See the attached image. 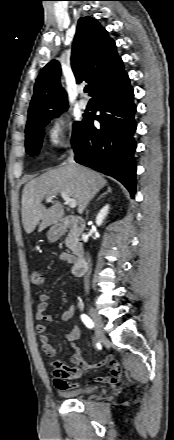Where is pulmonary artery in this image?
I'll return each instance as SVG.
<instances>
[{
	"label": "pulmonary artery",
	"mask_w": 174,
	"mask_h": 440,
	"mask_svg": "<svg viewBox=\"0 0 174 440\" xmlns=\"http://www.w3.org/2000/svg\"><path fill=\"white\" fill-rule=\"evenodd\" d=\"M87 106H88V102H87V100H85V99H80V100L78 101V107H79L80 109H85Z\"/></svg>",
	"instance_id": "pulmonary-artery-1"
}]
</instances>
